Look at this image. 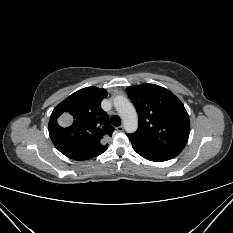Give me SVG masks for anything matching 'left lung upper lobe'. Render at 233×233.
I'll list each match as a JSON object with an SVG mask.
<instances>
[{
  "label": "left lung upper lobe",
  "instance_id": "1",
  "mask_svg": "<svg viewBox=\"0 0 233 233\" xmlns=\"http://www.w3.org/2000/svg\"><path fill=\"white\" fill-rule=\"evenodd\" d=\"M139 118L138 130L128 134L132 146L166 158L176 157L185 147L190 122L181 101L155 84L126 89Z\"/></svg>",
  "mask_w": 233,
  "mask_h": 233
}]
</instances>
